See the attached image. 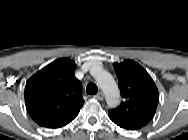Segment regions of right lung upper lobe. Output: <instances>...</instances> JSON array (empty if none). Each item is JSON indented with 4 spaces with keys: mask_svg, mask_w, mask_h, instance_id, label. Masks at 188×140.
I'll use <instances>...</instances> for the list:
<instances>
[{
    "mask_svg": "<svg viewBox=\"0 0 188 140\" xmlns=\"http://www.w3.org/2000/svg\"><path fill=\"white\" fill-rule=\"evenodd\" d=\"M75 63L58 59L35 74L26 84L25 102L33 120L46 128H59L78 115L84 100Z\"/></svg>",
    "mask_w": 188,
    "mask_h": 140,
    "instance_id": "cb5924a9",
    "label": "right lung upper lobe"
}]
</instances>
